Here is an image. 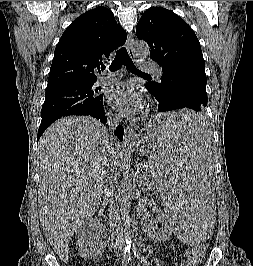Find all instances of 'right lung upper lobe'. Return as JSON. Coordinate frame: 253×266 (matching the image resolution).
Listing matches in <instances>:
<instances>
[{
  "mask_svg": "<svg viewBox=\"0 0 253 266\" xmlns=\"http://www.w3.org/2000/svg\"><path fill=\"white\" fill-rule=\"evenodd\" d=\"M126 31L111 10L98 7L74 20L60 38L50 68L47 88L96 81L102 60L126 42Z\"/></svg>",
  "mask_w": 253,
  "mask_h": 266,
  "instance_id": "obj_1",
  "label": "right lung upper lobe"
}]
</instances>
